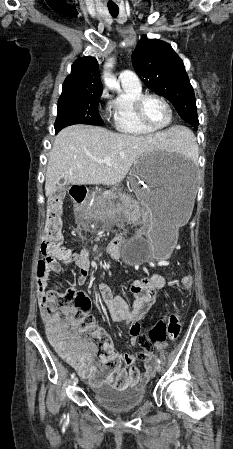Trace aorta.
<instances>
[{"mask_svg": "<svg viewBox=\"0 0 233 449\" xmlns=\"http://www.w3.org/2000/svg\"><path fill=\"white\" fill-rule=\"evenodd\" d=\"M111 67H112V60H110L106 64L105 68L109 69ZM104 82L107 85V87H109L110 89H119L120 88L119 83L116 82L115 78L111 75L110 70H106L104 72Z\"/></svg>", "mask_w": 233, "mask_h": 449, "instance_id": "1", "label": "aorta"}]
</instances>
